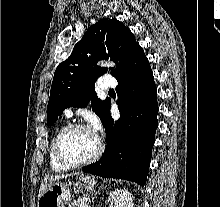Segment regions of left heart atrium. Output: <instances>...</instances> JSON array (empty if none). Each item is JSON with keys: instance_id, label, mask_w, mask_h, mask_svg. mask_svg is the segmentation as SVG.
I'll return each mask as SVG.
<instances>
[{"instance_id": "left-heart-atrium-1", "label": "left heart atrium", "mask_w": 220, "mask_h": 207, "mask_svg": "<svg viewBox=\"0 0 220 207\" xmlns=\"http://www.w3.org/2000/svg\"><path fill=\"white\" fill-rule=\"evenodd\" d=\"M100 129L101 126L98 119H93L91 124V132L96 135L100 131Z\"/></svg>"}]
</instances>
